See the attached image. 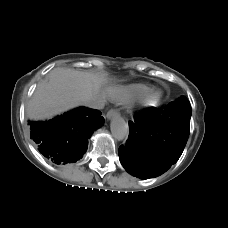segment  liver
I'll list each match as a JSON object with an SVG mask.
<instances>
[{
	"label": "liver",
	"mask_w": 228,
	"mask_h": 228,
	"mask_svg": "<svg viewBox=\"0 0 228 228\" xmlns=\"http://www.w3.org/2000/svg\"><path fill=\"white\" fill-rule=\"evenodd\" d=\"M107 82L105 74L82 72L70 68H55L38 84L28 103L31 119L48 118L100 96Z\"/></svg>",
	"instance_id": "liver-1"
}]
</instances>
